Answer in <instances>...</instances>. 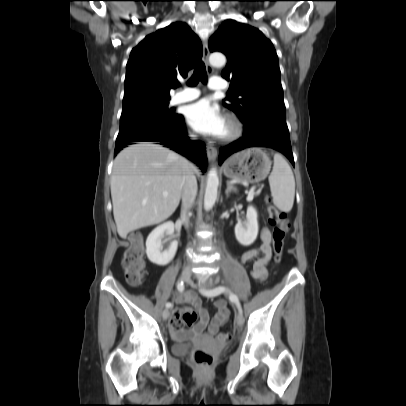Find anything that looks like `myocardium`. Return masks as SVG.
<instances>
[{
    "instance_id": "obj_1",
    "label": "myocardium",
    "mask_w": 406,
    "mask_h": 406,
    "mask_svg": "<svg viewBox=\"0 0 406 406\" xmlns=\"http://www.w3.org/2000/svg\"><path fill=\"white\" fill-rule=\"evenodd\" d=\"M226 125L228 132L220 137L224 142H230L237 139L242 133V125L238 118L232 114L226 116Z\"/></svg>"
}]
</instances>
